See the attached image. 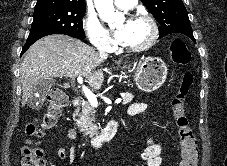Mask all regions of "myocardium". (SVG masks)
I'll return each mask as SVG.
<instances>
[{
	"instance_id": "myocardium-1",
	"label": "myocardium",
	"mask_w": 227,
	"mask_h": 166,
	"mask_svg": "<svg viewBox=\"0 0 227 166\" xmlns=\"http://www.w3.org/2000/svg\"><path fill=\"white\" fill-rule=\"evenodd\" d=\"M131 19L145 21L150 28V35L144 43L139 44V45H134V46L122 45L123 49L130 51V52H141V51L147 50L155 43V41L158 37L159 31H158V26H157L156 21L154 20V18L152 16H150L148 13H145V12L135 13L132 15Z\"/></svg>"
}]
</instances>
